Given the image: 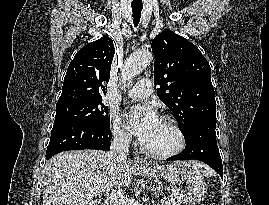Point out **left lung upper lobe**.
Returning a JSON list of instances; mask_svg holds the SVG:
<instances>
[{
  "mask_svg": "<svg viewBox=\"0 0 269 205\" xmlns=\"http://www.w3.org/2000/svg\"><path fill=\"white\" fill-rule=\"evenodd\" d=\"M155 57L154 84L185 136L205 120L216 121L211 68L201 51L187 39L165 29L151 44Z\"/></svg>",
  "mask_w": 269,
  "mask_h": 205,
  "instance_id": "obj_1",
  "label": "left lung upper lobe"
}]
</instances>
